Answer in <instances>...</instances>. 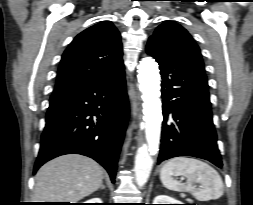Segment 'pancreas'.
I'll list each match as a JSON object with an SVG mask.
<instances>
[{
    "label": "pancreas",
    "mask_w": 253,
    "mask_h": 205,
    "mask_svg": "<svg viewBox=\"0 0 253 205\" xmlns=\"http://www.w3.org/2000/svg\"><path fill=\"white\" fill-rule=\"evenodd\" d=\"M182 197H185V194H181Z\"/></svg>",
    "instance_id": "obj_1"
}]
</instances>
